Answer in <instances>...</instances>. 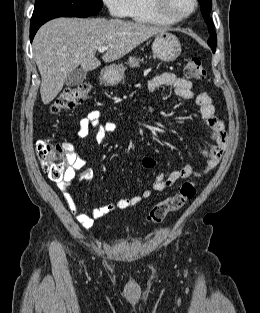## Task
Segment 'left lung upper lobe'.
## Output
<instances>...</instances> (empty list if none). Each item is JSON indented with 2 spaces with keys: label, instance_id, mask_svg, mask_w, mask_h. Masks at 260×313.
<instances>
[{
  "label": "left lung upper lobe",
  "instance_id": "1",
  "mask_svg": "<svg viewBox=\"0 0 260 313\" xmlns=\"http://www.w3.org/2000/svg\"><path fill=\"white\" fill-rule=\"evenodd\" d=\"M202 6V15L205 18V22L208 25L209 31L211 33L209 39H208V45L211 47L213 53L216 50V44H217V37L214 29V24L212 20L209 17L210 11L212 9V0H198Z\"/></svg>",
  "mask_w": 260,
  "mask_h": 313
}]
</instances>
